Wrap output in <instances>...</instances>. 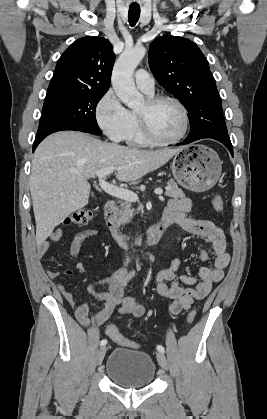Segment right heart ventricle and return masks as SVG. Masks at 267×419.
I'll return each mask as SVG.
<instances>
[{"instance_id": "1", "label": "right heart ventricle", "mask_w": 267, "mask_h": 419, "mask_svg": "<svg viewBox=\"0 0 267 419\" xmlns=\"http://www.w3.org/2000/svg\"><path fill=\"white\" fill-rule=\"evenodd\" d=\"M130 112V111H129ZM131 127L125 138L126 142L132 146H144L149 144L141 133L135 112H130Z\"/></svg>"}]
</instances>
